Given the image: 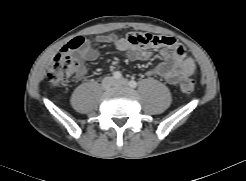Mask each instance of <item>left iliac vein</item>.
<instances>
[{"instance_id":"1","label":"left iliac vein","mask_w":246,"mask_h":181,"mask_svg":"<svg viewBox=\"0 0 246 181\" xmlns=\"http://www.w3.org/2000/svg\"><path fill=\"white\" fill-rule=\"evenodd\" d=\"M128 85V81L125 78H121L118 81H115V86L119 87V86H127Z\"/></svg>"}]
</instances>
